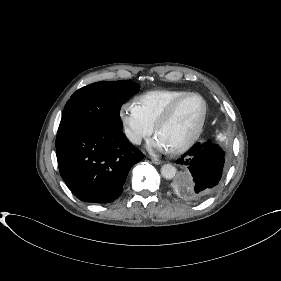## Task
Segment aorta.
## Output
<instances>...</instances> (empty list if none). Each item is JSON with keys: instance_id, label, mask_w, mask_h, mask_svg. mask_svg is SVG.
Returning a JSON list of instances; mask_svg holds the SVG:
<instances>
[{"instance_id": "aorta-1", "label": "aorta", "mask_w": 281, "mask_h": 281, "mask_svg": "<svg viewBox=\"0 0 281 281\" xmlns=\"http://www.w3.org/2000/svg\"><path fill=\"white\" fill-rule=\"evenodd\" d=\"M161 174L165 179H172L176 174V168L171 164H164L161 168Z\"/></svg>"}]
</instances>
